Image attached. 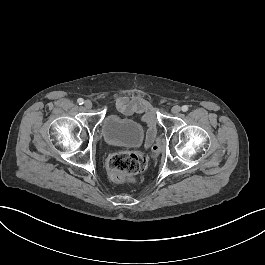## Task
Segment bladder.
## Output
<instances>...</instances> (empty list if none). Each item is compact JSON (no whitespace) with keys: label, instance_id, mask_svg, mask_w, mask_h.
<instances>
[{"label":"bladder","instance_id":"bladder-1","mask_svg":"<svg viewBox=\"0 0 265 265\" xmlns=\"http://www.w3.org/2000/svg\"><path fill=\"white\" fill-rule=\"evenodd\" d=\"M101 133L108 144L127 147L139 145L144 136L139 123L118 114H108L104 118Z\"/></svg>","mask_w":265,"mask_h":265}]
</instances>
